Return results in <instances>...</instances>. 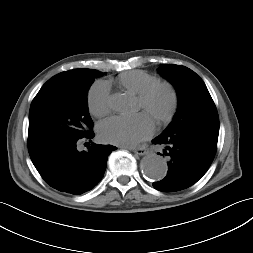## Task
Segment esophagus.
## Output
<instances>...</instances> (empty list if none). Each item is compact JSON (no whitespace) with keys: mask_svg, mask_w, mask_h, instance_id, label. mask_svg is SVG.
I'll list each match as a JSON object with an SVG mask.
<instances>
[{"mask_svg":"<svg viewBox=\"0 0 253 253\" xmlns=\"http://www.w3.org/2000/svg\"><path fill=\"white\" fill-rule=\"evenodd\" d=\"M132 150H133L134 153H136L140 156L146 155L149 152V149L145 146L138 147V148H133Z\"/></svg>","mask_w":253,"mask_h":253,"instance_id":"34e87169","label":"esophagus"}]
</instances>
